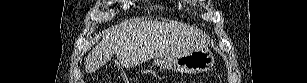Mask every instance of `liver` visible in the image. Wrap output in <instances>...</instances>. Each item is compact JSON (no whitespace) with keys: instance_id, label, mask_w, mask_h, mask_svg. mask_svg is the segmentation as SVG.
Listing matches in <instances>:
<instances>
[{"instance_id":"1","label":"liver","mask_w":307,"mask_h":83,"mask_svg":"<svg viewBox=\"0 0 307 83\" xmlns=\"http://www.w3.org/2000/svg\"><path fill=\"white\" fill-rule=\"evenodd\" d=\"M201 30L158 21L129 20L103 32L102 40L86 59V72L98 70L116 54L128 67L157 57H174L195 46H206Z\"/></svg>"}]
</instances>
